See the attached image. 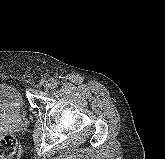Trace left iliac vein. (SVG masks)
I'll return each mask as SVG.
<instances>
[{
  "label": "left iliac vein",
  "instance_id": "4c4485c4",
  "mask_svg": "<svg viewBox=\"0 0 165 159\" xmlns=\"http://www.w3.org/2000/svg\"><path fill=\"white\" fill-rule=\"evenodd\" d=\"M51 88H52V84H51V83H46V84L44 85V90H45L46 92H48Z\"/></svg>",
  "mask_w": 165,
  "mask_h": 159
}]
</instances>
